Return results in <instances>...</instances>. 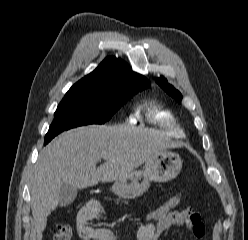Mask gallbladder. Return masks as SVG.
Instances as JSON below:
<instances>
[{"label": "gallbladder", "mask_w": 248, "mask_h": 240, "mask_svg": "<svg viewBox=\"0 0 248 240\" xmlns=\"http://www.w3.org/2000/svg\"><path fill=\"white\" fill-rule=\"evenodd\" d=\"M77 196V188L70 185H63L59 192V205L60 207H66L70 205Z\"/></svg>", "instance_id": "bac80fb5"}]
</instances>
